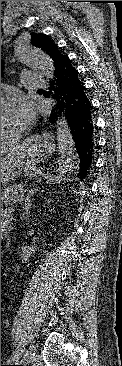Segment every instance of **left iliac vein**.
<instances>
[{
  "label": "left iliac vein",
  "instance_id": "left-iliac-vein-1",
  "mask_svg": "<svg viewBox=\"0 0 122 366\" xmlns=\"http://www.w3.org/2000/svg\"><path fill=\"white\" fill-rule=\"evenodd\" d=\"M24 351L23 344H19L16 348L15 354L13 355V360H18L21 358L22 353ZM36 347L32 344L29 347V350L26 352V355L24 356V362L29 363L35 356Z\"/></svg>",
  "mask_w": 122,
  "mask_h": 366
}]
</instances>
